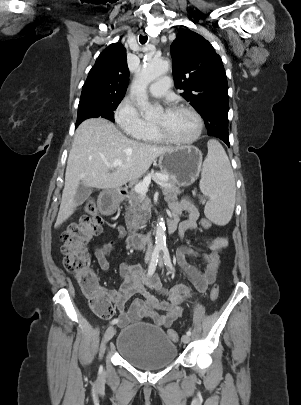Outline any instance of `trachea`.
I'll return each mask as SVG.
<instances>
[{
  "label": "trachea",
  "mask_w": 301,
  "mask_h": 405,
  "mask_svg": "<svg viewBox=\"0 0 301 405\" xmlns=\"http://www.w3.org/2000/svg\"><path fill=\"white\" fill-rule=\"evenodd\" d=\"M147 40H148L147 36H143V35L139 36V41L141 44H145L147 42Z\"/></svg>",
  "instance_id": "trachea-1"
}]
</instances>
